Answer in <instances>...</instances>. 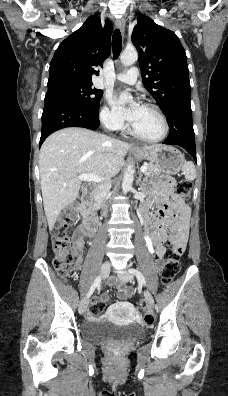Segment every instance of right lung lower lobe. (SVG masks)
Returning a JSON list of instances; mask_svg holds the SVG:
<instances>
[{
  "label": "right lung lower lobe",
  "mask_w": 228,
  "mask_h": 396,
  "mask_svg": "<svg viewBox=\"0 0 228 396\" xmlns=\"http://www.w3.org/2000/svg\"><path fill=\"white\" fill-rule=\"evenodd\" d=\"M99 110H89L64 97L45 98L42 114V131L39 145L53 132L66 127L96 129Z\"/></svg>",
  "instance_id": "98d812e1"
}]
</instances>
